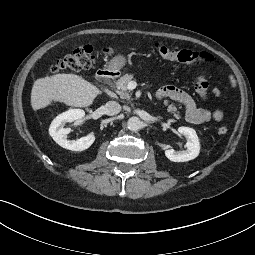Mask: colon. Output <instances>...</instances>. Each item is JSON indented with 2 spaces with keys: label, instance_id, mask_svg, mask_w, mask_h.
Here are the masks:
<instances>
[{
  "label": "colon",
  "instance_id": "1",
  "mask_svg": "<svg viewBox=\"0 0 255 255\" xmlns=\"http://www.w3.org/2000/svg\"><path fill=\"white\" fill-rule=\"evenodd\" d=\"M154 48L161 58L167 61L209 67L213 63V56L208 52H197L187 49L177 50L161 43H155ZM115 52L113 47L97 48L93 45H83L72 54L60 59L51 69L52 72L79 71L90 68L99 56H111ZM209 83L205 69L198 71L195 80V90L204 99L208 98ZM228 132L226 126H220L218 133L224 135Z\"/></svg>",
  "mask_w": 255,
  "mask_h": 255
}]
</instances>
